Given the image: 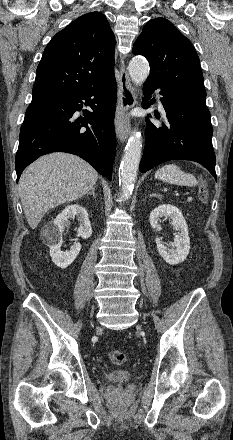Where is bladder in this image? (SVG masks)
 I'll use <instances>...</instances> for the list:
<instances>
[{
    "label": "bladder",
    "instance_id": "bladder-1",
    "mask_svg": "<svg viewBox=\"0 0 233 440\" xmlns=\"http://www.w3.org/2000/svg\"><path fill=\"white\" fill-rule=\"evenodd\" d=\"M133 373L129 369H114L107 375L111 382L120 383L131 379Z\"/></svg>",
    "mask_w": 233,
    "mask_h": 440
}]
</instances>
